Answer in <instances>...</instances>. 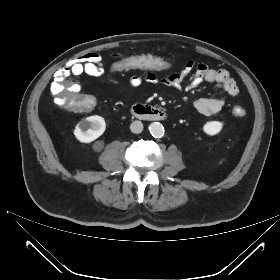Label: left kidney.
Returning a JSON list of instances; mask_svg holds the SVG:
<instances>
[{
	"mask_svg": "<svg viewBox=\"0 0 280 280\" xmlns=\"http://www.w3.org/2000/svg\"><path fill=\"white\" fill-rule=\"evenodd\" d=\"M223 127V123L219 121H210L204 124L203 130L206 134L213 136L218 134Z\"/></svg>",
	"mask_w": 280,
	"mask_h": 280,
	"instance_id": "obj_1",
	"label": "left kidney"
}]
</instances>
